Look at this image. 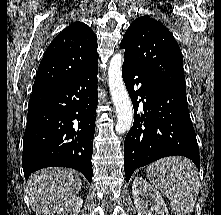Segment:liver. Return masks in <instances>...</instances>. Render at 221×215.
Here are the masks:
<instances>
[{
  "label": "liver",
  "mask_w": 221,
  "mask_h": 215,
  "mask_svg": "<svg viewBox=\"0 0 221 215\" xmlns=\"http://www.w3.org/2000/svg\"><path fill=\"white\" fill-rule=\"evenodd\" d=\"M81 185L79 172L52 167L32 173L26 190L36 215H54L79 193Z\"/></svg>",
  "instance_id": "1"
}]
</instances>
